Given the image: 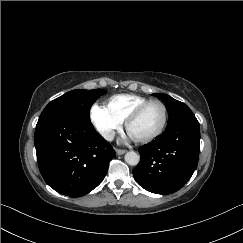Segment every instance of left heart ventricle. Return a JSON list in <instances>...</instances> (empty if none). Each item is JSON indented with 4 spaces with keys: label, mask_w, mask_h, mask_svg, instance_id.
Masks as SVG:
<instances>
[{
    "label": "left heart ventricle",
    "mask_w": 243,
    "mask_h": 243,
    "mask_svg": "<svg viewBox=\"0 0 243 243\" xmlns=\"http://www.w3.org/2000/svg\"><path fill=\"white\" fill-rule=\"evenodd\" d=\"M163 109L161 105H149L129 127V134L133 139H143L153 134L161 125Z\"/></svg>",
    "instance_id": "b2bd125f"
}]
</instances>
